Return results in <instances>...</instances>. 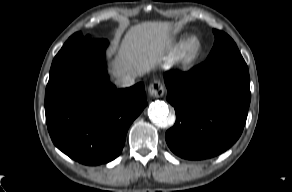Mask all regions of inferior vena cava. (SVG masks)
<instances>
[{
  "label": "inferior vena cava",
  "mask_w": 292,
  "mask_h": 192,
  "mask_svg": "<svg viewBox=\"0 0 292 192\" xmlns=\"http://www.w3.org/2000/svg\"><path fill=\"white\" fill-rule=\"evenodd\" d=\"M134 83H135V76H131V75H126L122 77L120 80H118V84L121 87H130L134 85Z\"/></svg>",
  "instance_id": "obj_1"
}]
</instances>
